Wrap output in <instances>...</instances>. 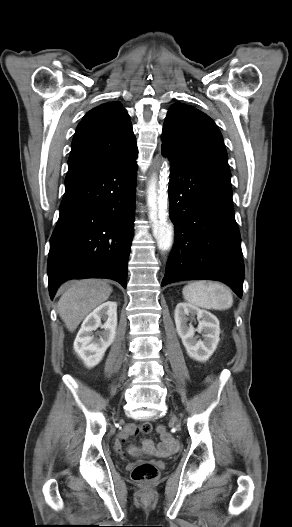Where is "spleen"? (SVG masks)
I'll use <instances>...</instances> for the list:
<instances>
[{"label":"spleen","mask_w":292,"mask_h":527,"mask_svg":"<svg viewBox=\"0 0 292 527\" xmlns=\"http://www.w3.org/2000/svg\"><path fill=\"white\" fill-rule=\"evenodd\" d=\"M182 293L188 303L205 309L225 310L233 304L230 289L217 282L195 281L186 285Z\"/></svg>","instance_id":"obj_1"}]
</instances>
